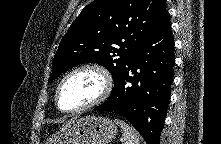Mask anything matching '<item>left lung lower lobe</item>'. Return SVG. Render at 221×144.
I'll use <instances>...</instances> for the list:
<instances>
[{
    "instance_id": "left-lung-lower-lobe-1",
    "label": "left lung lower lobe",
    "mask_w": 221,
    "mask_h": 144,
    "mask_svg": "<svg viewBox=\"0 0 221 144\" xmlns=\"http://www.w3.org/2000/svg\"><path fill=\"white\" fill-rule=\"evenodd\" d=\"M174 63V40L166 14L151 37L123 67L111 95L94 110L122 115L147 144H159L170 99Z\"/></svg>"
}]
</instances>
